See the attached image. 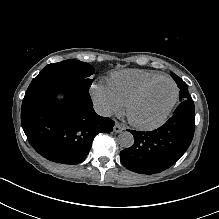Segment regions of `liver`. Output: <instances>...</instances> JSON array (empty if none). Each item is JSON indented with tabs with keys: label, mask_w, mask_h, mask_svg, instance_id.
Wrapping results in <instances>:
<instances>
[{
	"label": "liver",
	"mask_w": 219,
	"mask_h": 219,
	"mask_svg": "<svg viewBox=\"0 0 219 219\" xmlns=\"http://www.w3.org/2000/svg\"><path fill=\"white\" fill-rule=\"evenodd\" d=\"M52 99L55 103L64 104L68 101V95L64 90L56 89L52 94Z\"/></svg>",
	"instance_id": "6515ba94"
}]
</instances>
